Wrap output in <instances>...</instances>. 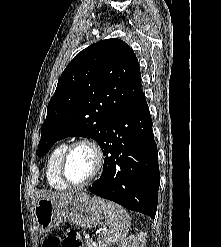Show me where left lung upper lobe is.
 I'll return each instance as SVG.
<instances>
[{"instance_id": "5c2ea615", "label": "left lung upper lobe", "mask_w": 221, "mask_h": 247, "mask_svg": "<svg viewBox=\"0 0 221 247\" xmlns=\"http://www.w3.org/2000/svg\"><path fill=\"white\" fill-rule=\"evenodd\" d=\"M145 103L140 67L129 46L113 38L92 44L60 76L36 153L44 156L69 136L91 137L102 147L110 121Z\"/></svg>"}]
</instances>
